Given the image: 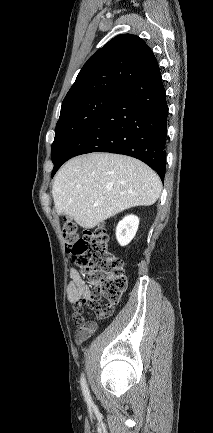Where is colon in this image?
<instances>
[{"instance_id":"colon-1","label":"colon","mask_w":213,"mask_h":433,"mask_svg":"<svg viewBox=\"0 0 213 433\" xmlns=\"http://www.w3.org/2000/svg\"><path fill=\"white\" fill-rule=\"evenodd\" d=\"M66 252L81 268L90 287L92 299L84 302L95 313L96 319L109 317L126 289L127 280L123 261L109 249L108 234L104 226L85 231L78 236L75 224L65 219L62 227ZM107 303L102 305L100 299ZM78 329L88 325L81 308L74 315Z\"/></svg>"}]
</instances>
